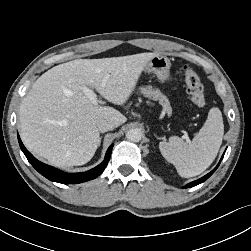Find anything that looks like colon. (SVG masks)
Here are the masks:
<instances>
[{"instance_id": "1", "label": "colon", "mask_w": 251, "mask_h": 251, "mask_svg": "<svg viewBox=\"0 0 251 251\" xmlns=\"http://www.w3.org/2000/svg\"><path fill=\"white\" fill-rule=\"evenodd\" d=\"M187 92L192 102L203 107L206 103L204 87L198 74L189 66L183 69Z\"/></svg>"}]
</instances>
